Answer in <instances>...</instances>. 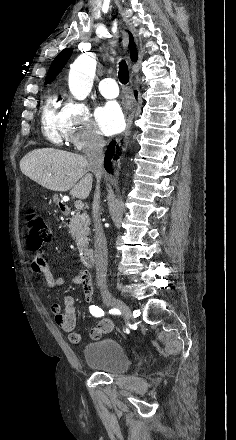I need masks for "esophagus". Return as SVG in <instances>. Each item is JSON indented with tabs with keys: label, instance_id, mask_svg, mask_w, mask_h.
Here are the masks:
<instances>
[{
	"label": "esophagus",
	"instance_id": "1",
	"mask_svg": "<svg viewBox=\"0 0 236 440\" xmlns=\"http://www.w3.org/2000/svg\"><path fill=\"white\" fill-rule=\"evenodd\" d=\"M131 116H132V114H129L126 119V129H125L124 133L122 134V136L126 135L129 127L131 126Z\"/></svg>",
	"mask_w": 236,
	"mask_h": 440
}]
</instances>
